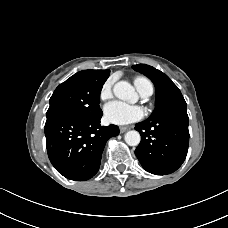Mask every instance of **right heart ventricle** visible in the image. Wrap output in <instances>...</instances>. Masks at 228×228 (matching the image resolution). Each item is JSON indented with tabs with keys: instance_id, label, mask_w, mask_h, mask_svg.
<instances>
[{
	"instance_id": "e07e8e85",
	"label": "right heart ventricle",
	"mask_w": 228,
	"mask_h": 228,
	"mask_svg": "<svg viewBox=\"0 0 228 228\" xmlns=\"http://www.w3.org/2000/svg\"><path fill=\"white\" fill-rule=\"evenodd\" d=\"M134 84L140 93L145 91L149 86H152L146 78L140 76L135 77Z\"/></svg>"
}]
</instances>
